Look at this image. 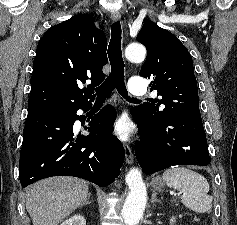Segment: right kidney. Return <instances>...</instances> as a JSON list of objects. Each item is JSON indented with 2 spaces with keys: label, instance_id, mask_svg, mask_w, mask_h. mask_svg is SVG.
Here are the masks:
<instances>
[{
  "label": "right kidney",
  "instance_id": "right-kidney-1",
  "mask_svg": "<svg viewBox=\"0 0 237 225\" xmlns=\"http://www.w3.org/2000/svg\"><path fill=\"white\" fill-rule=\"evenodd\" d=\"M60 225H86V220L80 214H76L62 222Z\"/></svg>",
  "mask_w": 237,
  "mask_h": 225
}]
</instances>
